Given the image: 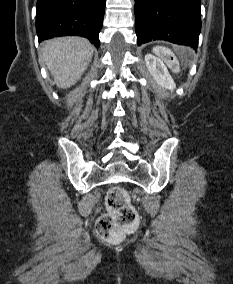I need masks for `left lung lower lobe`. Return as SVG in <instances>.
<instances>
[{"label":"left lung lower lobe","mask_w":233,"mask_h":284,"mask_svg":"<svg viewBox=\"0 0 233 284\" xmlns=\"http://www.w3.org/2000/svg\"><path fill=\"white\" fill-rule=\"evenodd\" d=\"M201 0H135L137 44L166 40L197 49Z\"/></svg>","instance_id":"1"}]
</instances>
